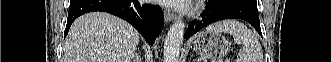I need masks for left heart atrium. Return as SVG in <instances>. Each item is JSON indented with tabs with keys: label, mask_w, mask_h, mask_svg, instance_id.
Returning a JSON list of instances; mask_svg holds the SVG:
<instances>
[{
	"label": "left heart atrium",
	"mask_w": 331,
	"mask_h": 62,
	"mask_svg": "<svg viewBox=\"0 0 331 62\" xmlns=\"http://www.w3.org/2000/svg\"><path fill=\"white\" fill-rule=\"evenodd\" d=\"M162 3L177 8V9H183L186 8L190 1L189 0H161Z\"/></svg>",
	"instance_id": "obj_1"
}]
</instances>
